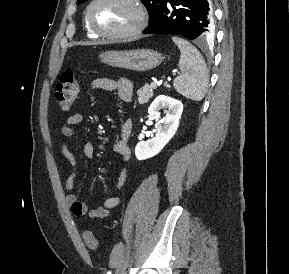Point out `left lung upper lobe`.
<instances>
[{
  "label": "left lung upper lobe",
  "instance_id": "obj_1",
  "mask_svg": "<svg viewBox=\"0 0 289 274\" xmlns=\"http://www.w3.org/2000/svg\"><path fill=\"white\" fill-rule=\"evenodd\" d=\"M87 0H78L77 4L86 2ZM149 13V23L153 22L161 12V8L165 0H141Z\"/></svg>",
  "mask_w": 289,
  "mask_h": 274
}]
</instances>
